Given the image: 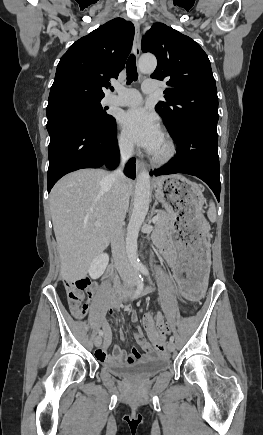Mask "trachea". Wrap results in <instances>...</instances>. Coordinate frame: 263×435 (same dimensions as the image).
Returning a JSON list of instances; mask_svg holds the SVG:
<instances>
[{
  "label": "trachea",
  "mask_w": 263,
  "mask_h": 435,
  "mask_svg": "<svg viewBox=\"0 0 263 435\" xmlns=\"http://www.w3.org/2000/svg\"><path fill=\"white\" fill-rule=\"evenodd\" d=\"M126 73H127V84H130L132 81H136L138 79L136 58L133 54H131L127 60Z\"/></svg>",
  "instance_id": "obj_1"
}]
</instances>
